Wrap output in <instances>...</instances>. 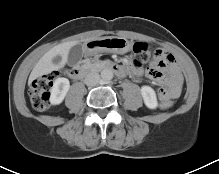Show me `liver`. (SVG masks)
Segmentation results:
<instances>
[{"mask_svg":"<svg viewBox=\"0 0 219 174\" xmlns=\"http://www.w3.org/2000/svg\"><path fill=\"white\" fill-rule=\"evenodd\" d=\"M85 42L88 40H84ZM79 41H71L59 44L53 48H51L48 52H46L40 60L37 62L35 67L33 68L30 76H29V83H31L34 79L44 75L49 74L52 71L58 70L65 66L68 58L69 50ZM56 56H60L62 59L58 64L53 62V59Z\"/></svg>","mask_w":219,"mask_h":174,"instance_id":"1","label":"liver"}]
</instances>
